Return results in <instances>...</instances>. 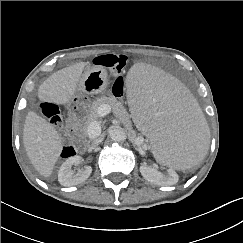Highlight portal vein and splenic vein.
<instances>
[{
	"instance_id": "portal-vein-and-splenic-vein-1",
	"label": "portal vein and splenic vein",
	"mask_w": 243,
	"mask_h": 243,
	"mask_svg": "<svg viewBox=\"0 0 243 243\" xmlns=\"http://www.w3.org/2000/svg\"><path fill=\"white\" fill-rule=\"evenodd\" d=\"M111 112V107L107 104H103L98 109L99 116H106ZM88 135L89 137H96L101 133V126L97 121L90 123L88 127Z\"/></svg>"
}]
</instances>
